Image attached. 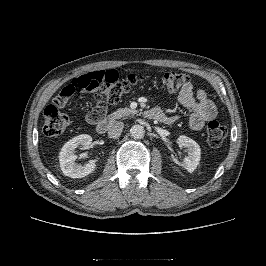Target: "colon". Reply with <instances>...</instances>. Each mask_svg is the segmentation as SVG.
<instances>
[{"label":"colon","mask_w":266,"mask_h":266,"mask_svg":"<svg viewBox=\"0 0 266 266\" xmlns=\"http://www.w3.org/2000/svg\"><path fill=\"white\" fill-rule=\"evenodd\" d=\"M147 79L145 75L130 74L121 77L115 70L90 72L80 75L72 80L71 83L62 88L60 93L54 98L44 110L45 135L56 137L61 135L67 125L68 117L60 112L68 101L77 91H90L98 89L103 99L110 103H119L126 94L139 83ZM162 82L168 92L174 93L190 83L189 75L169 70L163 73ZM102 114L104 112H101ZM227 135L226 128L217 121H211L207 127V142L211 147H219Z\"/></svg>","instance_id":"1"}]
</instances>
